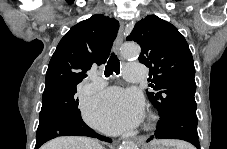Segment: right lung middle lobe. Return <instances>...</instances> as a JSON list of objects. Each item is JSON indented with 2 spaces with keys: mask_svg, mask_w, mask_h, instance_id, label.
<instances>
[{
  "mask_svg": "<svg viewBox=\"0 0 227 149\" xmlns=\"http://www.w3.org/2000/svg\"><path fill=\"white\" fill-rule=\"evenodd\" d=\"M76 92V86L58 85L46 88L42 97L39 124L67 119L82 120Z\"/></svg>",
  "mask_w": 227,
  "mask_h": 149,
  "instance_id": "right-lung-middle-lobe-1",
  "label": "right lung middle lobe"
}]
</instances>
